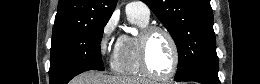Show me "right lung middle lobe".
Instances as JSON below:
<instances>
[{"mask_svg":"<svg viewBox=\"0 0 260 84\" xmlns=\"http://www.w3.org/2000/svg\"><path fill=\"white\" fill-rule=\"evenodd\" d=\"M107 22H91L52 35L50 84H67L75 75L88 70L104 71L100 42Z\"/></svg>","mask_w":260,"mask_h":84,"instance_id":"1","label":"right lung middle lobe"}]
</instances>
